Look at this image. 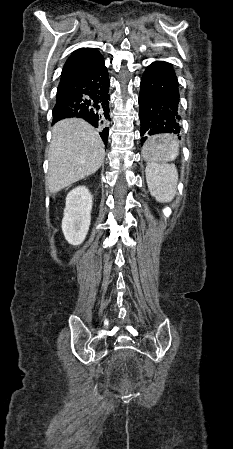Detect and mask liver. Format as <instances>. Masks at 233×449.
I'll list each match as a JSON object with an SVG mask.
<instances>
[{
	"label": "liver",
	"instance_id": "obj_1",
	"mask_svg": "<svg viewBox=\"0 0 233 449\" xmlns=\"http://www.w3.org/2000/svg\"><path fill=\"white\" fill-rule=\"evenodd\" d=\"M46 187L56 193L95 173L105 157L97 131L85 120L68 118L57 122L47 152Z\"/></svg>",
	"mask_w": 233,
	"mask_h": 449
}]
</instances>
